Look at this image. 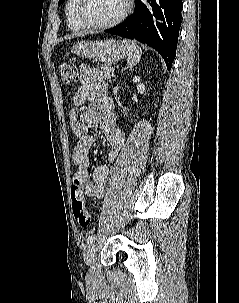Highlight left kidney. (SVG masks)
Here are the masks:
<instances>
[{"label":"left kidney","instance_id":"obj_1","mask_svg":"<svg viewBox=\"0 0 239 303\" xmlns=\"http://www.w3.org/2000/svg\"><path fill=\"white\" fill-rule=\"evenodd\" d=\"M133 82L134 83H137V90H138V92H140V93H144V91H145V86L142 84V83H140V77H134L133 78Z\"/></svg>","mask_w":239,"mask_h":303}]
</instances>
